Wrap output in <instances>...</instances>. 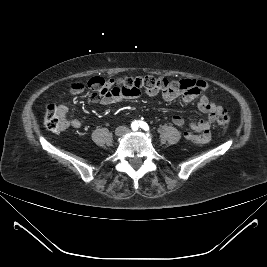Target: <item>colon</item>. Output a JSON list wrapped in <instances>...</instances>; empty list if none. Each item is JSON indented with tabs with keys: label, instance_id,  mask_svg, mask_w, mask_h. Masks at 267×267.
<instances>
[{
	"label": "colon",
	"instance_id": "colon-1",
	"mask_svg": "<svg viewBox=\"0 0 267 267\" xmlns=\"http://www.w3.org/2000/svg\"><path fill=\"white\" fill-rule=\"evenodd\" d=\"M114 85L120 89L122 93L132 97L139 96L142 92L156 94L159 92L178 91L184 87L182 81L168 80L152 75L123 76L116 79ZM44 120L47 129L50 131L60 132L64 130V123L58 116L54 105H49L47 107ZM216 120L220 126V132L224 133L229 124L228 114L225 111H220L216 116Z\"/></svg>",
	"mask_w": 267,
	"mask_h": 267
}]
</instances>
